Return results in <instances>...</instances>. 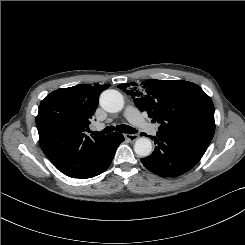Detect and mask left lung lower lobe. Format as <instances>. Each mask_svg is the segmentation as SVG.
Segmentation results:
<instances>
[{"label":"left lung lower lobe","mask_w":245,"mask_h":245,"mask_svg":"<svg viewBox=\"0 0 245 245\" xmlns=\"http://www.w3.org/2000/svg\"><path fill=\"white\" fill-rule=\"evenodd\" d=\"M150 138L154 139L155 150L150 156L141 158V162L161 177H177L192 169L210 144L192 135L166 131H158Z\"/></svg>","instance_id":"0a47b994"}]
</instances>
